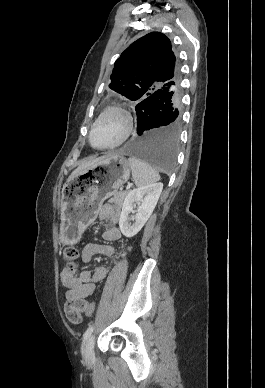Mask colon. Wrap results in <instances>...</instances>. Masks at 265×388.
Instances as JSON below:
<instances>
[{
  "label": "colon",
  "instance_id": "obj_1",
  "mask_svg": "<svg viewBox=\"0 0 265 388\" xmlns=\"http://www.w3.org/2000/svg\"><path fill=\"white\" fill-rule=\"evenodd\" d=\"M77 258H78V250L75 247L69 246L64 250L63 259L66 263V267L73 269L76 266ZM95 309H96L95 304L92 302H89L84 307V313L89 316H92L95 312Z\"/></svg>",
  "mask_w": 265,
  "mask_h": 388
}]
</instances>
